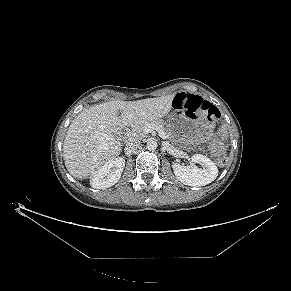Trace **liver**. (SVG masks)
Here are the masks:
<instances>
[{"label":"liver","instance_id":"1","mask_svg":"<svg viewBox=\"0 0 291 291\" xmlns=\"http://www.w3.org/2000/svg\"><path fill=\"white\" fill-rule=\"evenodd\" d=\"M174 96L170 94L137 101L114 100L82 111L70 124L63 143V158L68 172L75 178L85 179L96 168L114 159L121 152V143L113 133L128 125L164 117L172 108Z\"/></svg>","mask_w":291,"mask_h":291}]
</instances>
